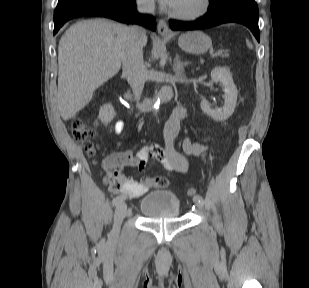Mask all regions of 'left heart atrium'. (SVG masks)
<instances>
[{"instance_id":"1","label":"left heart atrium","mask_w":309,"mask_h":288,"mask_svg":"<svg viewBox=\"0 0 309 288\" xmlns=\"http://www.w3.org/2000/svg\"><path fill=\"white\" fill-rule=\"evenodd\" d=\"M161 3L169 8L175 3L176 0H160Z\"/></svg>"}]
</instances>
